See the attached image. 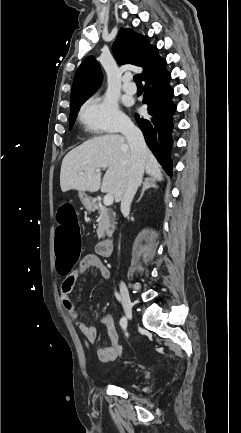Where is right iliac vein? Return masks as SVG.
<instances>
[{"mask_svg":"<svg viewBox=\"0 0 241 433\" xmlns=\"http://www.w3.org/2000/svg\"><path fill=\"white\" fill-rule=\"evenodd\" d=\"M121 301L124 312L128 319L132 318V302L128 292V289L124 283L120 284Z\"/></svg>","mask_w":241,"mask_h":433,"instance_id":"63e3f726","label":"right iliac vein"}]
</instances>
